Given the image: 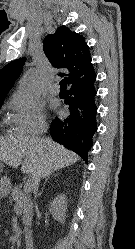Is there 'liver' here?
Segmentation results:
<instances>
[{
  "label": "liver",
  "instance_id": "obj_1",
  "mask_svg": "<svg viewBox=\"0 0 135 249\" xmlns=\"http://www.w3.org/2000/svg\"><path fill=\"white\" fill-rule=\"evenodd\" d=\"M79 156L54 142L51 138L34 136L0 137V161L17 168L33 178H45L52 172L71 166Z\"/></svg>",
  "mask_w": 135,
  "mask_h": 249
}]
</instances>
